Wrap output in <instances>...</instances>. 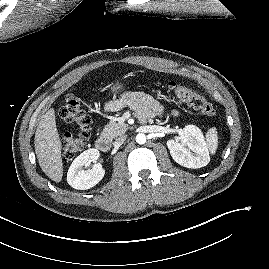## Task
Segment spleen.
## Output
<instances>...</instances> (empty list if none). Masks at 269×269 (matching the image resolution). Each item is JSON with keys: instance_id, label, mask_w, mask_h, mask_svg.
<instances>
[{"instance_id": "spleen-1", "label": "spleen", "mask_w": 269, "mask_h": 269, "mask_svg": "<svg viewBox=\"0 0 269 269\" xmlns=\"http://www.w3.org/2000/svg\"><path fill=\"white\" fill-rule=\"evenodd\" d=\"M206 144L210 153L215 154L218 147V135L215 127H212L207 131Z\"/></svg>"}]
</instances>
